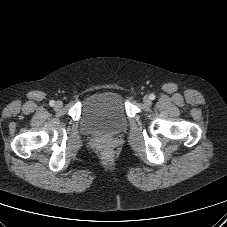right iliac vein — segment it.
I'll return each instance as SVG.
<instances>
[{"label":"right iliac vein","instance_id":"right-iliac-vein-1","mask_svg":"<svg viewBox=\"0 0 227 227\" xmlns=\"http://www.w3.org/2000/svg\"><path fill=\"white\" fill-rule=\"evenodd\" d=\"M62 105H63V103H62L61 101H57L56 104H55V107H56L57 109H59V108L62 107Z\"/></svg>","mask_w":227,"mask_h":227}]
</instances>
